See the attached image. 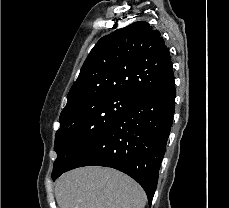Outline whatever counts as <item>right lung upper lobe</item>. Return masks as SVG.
Instances as JSON below:
<instances>
[{
	"label": "right lung upper lobe",
	"instance_id": "obj_1",
	"mask_svg": "<svg viewBox=\"0 0 229 208\" xmlns=\"http://www.w3.org/2000/svg\"><path fill=\"white\" fill-rule=\"evenodd\" d=\"M174 78L164 39L145 21L102 37L86 58L60 117L73 107L106 95L136 100Z\"/></svg>",
	"mask_w": 229,
	"mask_h": 208
}]
</instances>
